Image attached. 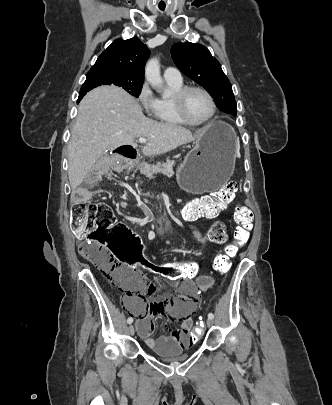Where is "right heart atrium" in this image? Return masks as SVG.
<instances>
[{
	"mask_svg": "<svg viewBox=\"0 0 332 405\" xmlns=\"http://www.w3.org/2000/svg\"><path fill=\"white\" fill-rule=\"evenodd\" d=\"M137 98L149 115H154L157 110V98L147 83H144L138 91Z\"/></svg>",
	"mask_w": 332,
	"mask_h": 405,
	"instance_id": "obj_1",
	"label": "right heart atrium"
}]
</instances>
